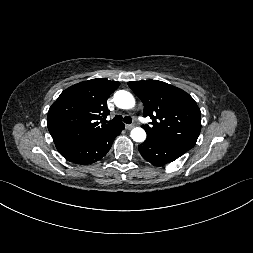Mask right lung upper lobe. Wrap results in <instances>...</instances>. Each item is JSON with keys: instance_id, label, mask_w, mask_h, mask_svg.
Returning a JSON list of instances; mask_svg holds the SVG:
<instances>
[{"instance_id": "right-lung-upper-lobe-1", "label": "right lung upper lobe", "mask_w": 253, "mask_h": 253, "mask_svg": "<svg viewBox=\"0 0 253 253\" xmlns=\"http://www.w3.org/2000/svg\"><path fill=\"white\" fill-rule=\"evenodd\" d=\"M119 85L116 81L97 78L75 84L60 94L49 108L47 119L58 151L118 125L105 124L104 118L110 114L107 99Z\"/></svg>"}]
</instances>
